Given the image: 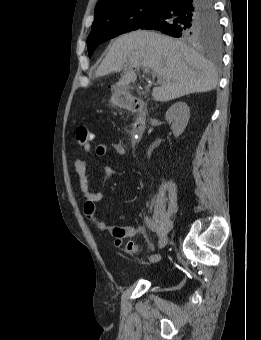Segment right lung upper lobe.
<instances>
[{
    "label": "right lung upper lobe",
    "mask_w": 261,
    "mask_h": 340,
    "mask_svg": "<svg viewBox=\"0 0 261 340\" xmlns=\"http://www.w3.org/2000/svg\"><path fill=\"white\" fill-rule=\"evenodd\" d=\"M138 1L147 0H99L95 8L94 19H97L108 10L125 6Z\"/></svg>",
    "instance_id": "1"
}]
</instances>
